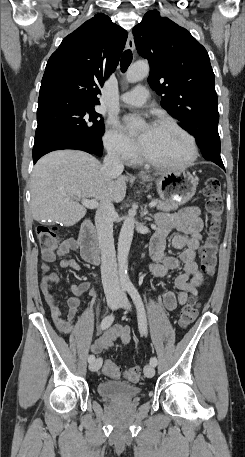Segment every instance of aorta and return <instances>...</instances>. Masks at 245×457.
I'll return each instance as SVG.
<instances>
[{"mask_svg": "<svg viewBox=\"0 0 245 457\" xmlns=\"http://www.w3.org/2000/svg\"><path fill=\"white\" fill-rule=\"evenodd\" d=\"M149 73V65L147 62L139 61L129 67L126 74V79L130 83L138 82L144 79ZM135 218L132 214L125 217L118 238V273L119 280L122 286L130 285L128 275V255L133 240Z\"/></svg>", "mask_w": 245, "mask_h": 457, "instance_id": "1", "label": "aorta"}]
</instances>
